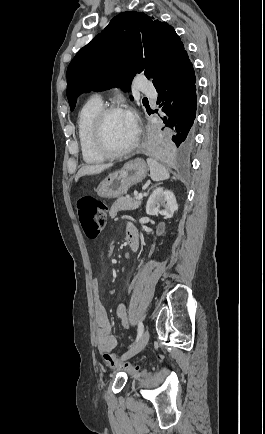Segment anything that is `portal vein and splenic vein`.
Masks as SVG:
<instances>
[{"instance_id":"portal-vein-and-splenic-vein-1","label":"portal vein and splenic vein","mask_w":265,"mask_h":434,"mask_svg":"<svg viewBox=\"0 0 265 434\" xmlns=\"http://www.w3.org/2000/svg\"><path fill=\"white\" fill-rule=\"evenodd\" d=\"M143 198V194H138V196H136L135 200H142Z\"/></svg>"}]
</instances>
